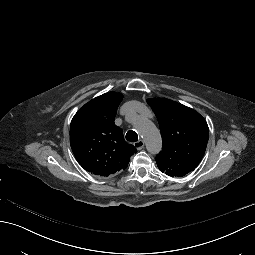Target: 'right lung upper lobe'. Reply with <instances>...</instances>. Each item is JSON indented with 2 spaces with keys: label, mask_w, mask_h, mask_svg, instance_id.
I'll return each instance as SVG.
<instances>
[{
  "label": "right lung upper lobe",
  "mask_w": 255,
  "mask_h": 255,
  "mask_svg": "<svg viewBox=\"0 0 255 255\" xmlns=\"http://www.w3.org/2000/svg\"><path fill=\"white\" fill-rule=\"evenodd\" d=\"M121 93L108 92L84 105L70 125V145L76 160L88 172L107 177L128 166L136 148L125 142L115 125Z\"/></svg>",
  "instance_id": "1"
}]
</instances>
